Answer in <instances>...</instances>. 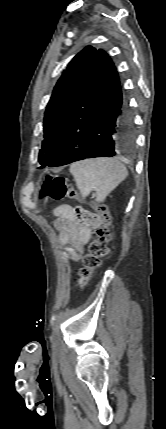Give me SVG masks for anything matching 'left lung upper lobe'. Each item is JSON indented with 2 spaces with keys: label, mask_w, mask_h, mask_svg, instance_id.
I'll use <instances>...</instances> for the list:
<instances>
[{
  "label": "left lung upper lobe",
  "mask_w": 166,
  "mask_h": 429,
  "mask_svg": "<svg viewBox=\"0 0 166 429\" xmlns=\"http://www.w3.org/2000/svg\"><path fill=\"white\" fill-rule=\"evenodd\" d=\"M96 48L85 47L68 64L54 87L43 122L44 140L38 162L45 165L58 145L75 104L92 71Z\"/></svg>",
  "instance_id": "obj_1"
}]
</instances>
